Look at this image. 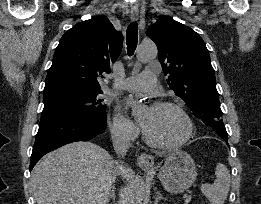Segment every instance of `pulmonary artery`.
I'll use <instances>...</instances> for the list:
<instances>
[{
    "mask_svg": "<svg viewBox=\"0 0 261 204\" xmlns=\"http://www.w3.org/2000/svg\"><path fill=\"white\" fill-rule=\"evenodd\" d=\"M156 75L152 71H144L139 75L128 77L121 83V88L129 91H150L156 87Z\"/></svg>",
    "mask_w": 261,
    "mask_h": 204,
    "instance_id": "pulmonary-artery-1",
    "label": "pulmonary artery"
}]
</instances>
